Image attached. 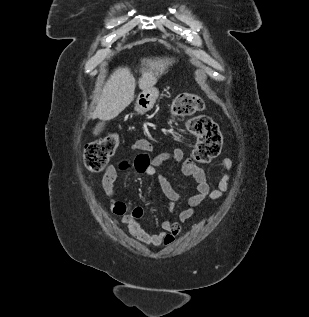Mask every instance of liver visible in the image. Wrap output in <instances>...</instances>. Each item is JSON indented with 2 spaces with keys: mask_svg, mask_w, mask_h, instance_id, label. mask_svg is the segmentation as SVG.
Segmentation results:
<instances>
[{
  "mask_svg": "<svg viewBox=\"0 0 309 317\" xmlns=\"http://www.w3.org/2000/svg\"><path fill=\"white\" fill-rule=\"evenodd\" d=\"M173 59H142L141 77L138 84L141 90L153 88L158 79L166 73ZM136 82L128 67H119L105 83L92 119L106 121L117 117L134 99Z\"/></svg>",
  "mask_w": 309,
  "mask_h": 317,
  "instance_id": "6515ba94",
  "label": "liver"
}]
</instances>
